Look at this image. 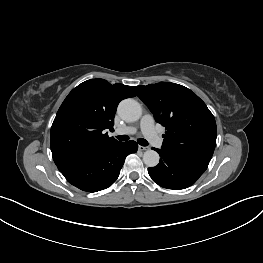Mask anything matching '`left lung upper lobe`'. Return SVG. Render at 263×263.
Segmentation results:
<instances>
[{
	"instance_id": "5c2ea615",
	"label": "left lung upper lobe",
	"mask_w": 263,
	"mask_h": 263,
	"mask_svg": "<svg viewBox=\"0 0 263 263\" xmlns=\"http://www.w3.org/2000/svg\"><path fill=\"white\" fill-rule=\"evenodd\" d=\"M132 89L155 120L166 127L161 150L209 164L216 145V122L195 93L169 82L133 86Z\"/></svg>"
}]
</instances>
